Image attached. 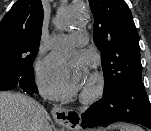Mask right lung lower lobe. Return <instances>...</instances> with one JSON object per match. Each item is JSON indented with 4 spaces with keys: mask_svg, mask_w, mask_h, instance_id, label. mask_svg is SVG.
I'll return each instance as SVG.
<instances>
[{
    "mask_svg": "<svg viewBox=\"0 0 151 131\" xmlns=\"http://www.w3.org/2000/svg\"><path fill=\"white\" fill-rule=\"evenodd\" d=\"M15 87L21 88L24 92L28 94L38 93L37 87L35 85L34 76L28 79H22L17 83H12L5 76H0V91L13 89Z\"/></svg>",
    "mask_w": 151,
    "mask_h": 131,
    "instance_id": "98d812e1",
    "label": "right lung lower lobe"
}]
</instances>
